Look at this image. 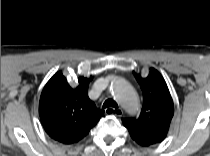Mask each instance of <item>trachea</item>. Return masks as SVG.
Instances as JSON below:
<instances>
[{
  "mask_svg": "<svg viewBox=\"0 0 210 156\" xmlns=\"http://www.w3.org/2000/svg\"><path fill=\"white\" fill-rule=\"evenodd\" d=\"M107 107L118 108V105L113 99H107L103 104V108H107Z\"/></svg>",
  "mask_w": 210,
  "mask_h": 156,
  "instance_id": "3493384b",
  "label": "trachea"
}]
</instances>
